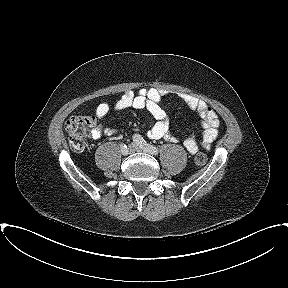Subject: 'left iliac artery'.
I'll use <instances>...</instances> for the list:
<instances>
[{
  "label": "left iliac artery",
  "mask_w": 288,
  "mask_h": 288,
  "mask_svg": "<svg viewBox=\"0 0 288 288\" xmlns=\"http://www.w3.org/2000/svg\"><path fill=\"white\" fill-rule=\"evenodd\" d=\"M134 141L137 145H139L144 151L152 154V155H157L158 154V149L153 146L148 144L140 135L136 134L134 135Z\"/></svg>",
  "instance_id": "44dca946"
}]
</instances>
